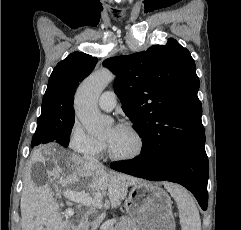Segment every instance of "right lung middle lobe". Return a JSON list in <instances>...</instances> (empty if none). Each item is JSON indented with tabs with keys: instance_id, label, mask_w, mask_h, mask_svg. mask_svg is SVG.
Here are the masks:
<instances>
[{
	"instance_id": "right-lung-middle-lobe-1",
	"label": "right lung middle lobe",
	"mask_w": 241,
	"mask_h": 230,
	"mask_svg": "<svg viewBox=\"0 0 241 230\" xmlns=\"http://www.w3.org/2000/svg\"><path fill=\"white\" fill-rule=\"evenodd\" d=\"M74 120V117L58 119L51 114H41L38 117V127L33 135L31 147L48 142H57L67 147Z\"/></svg>"
}]
</instances>
